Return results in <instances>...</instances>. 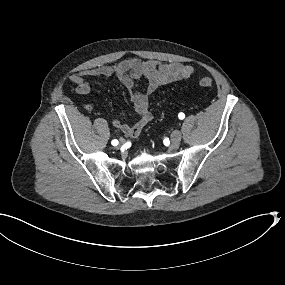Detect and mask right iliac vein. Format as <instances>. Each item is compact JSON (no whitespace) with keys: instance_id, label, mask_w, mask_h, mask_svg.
<instances>
[{"instance_id":"obj_1","label":"right iliac vein","mask_w":285,"mask_h":285,"mask_svg":"<svg viewBox=\"0 0 285 285\" xmlns=\"http://www.w3.org/2000/svg\"><path fill=\"white\" fill-rule=\"evenodd\" d=\"M124 144V140L120 139V146Z\"/></svg>"}]
</instances>
